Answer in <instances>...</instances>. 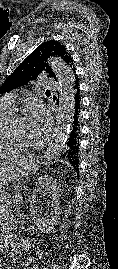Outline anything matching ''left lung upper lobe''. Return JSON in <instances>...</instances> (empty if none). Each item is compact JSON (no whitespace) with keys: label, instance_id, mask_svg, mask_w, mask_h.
Listing matches in <instances>:
<instances>
[{"label":"left lung upper lobe","instance_id":"1","mask_svg":"<svg viewBox=\"0 0 118 269\" xmlns=\"http://www.w3.org/2000/svg\"><path fill=\"white\" fill-rule=\"evenodd\" d=\"M60 57L66 64L72 67L73 60L66 47L55 40L43 42L38 46L7 78L0 88L1 93L9 92L20 86L26 85L30 80H35L40 73H47L49 77H55L52 68L47 64L50 57ZM78 84L77 75H75L74 85Z\"/></svg>","mask_w":118,"mask_h":269}]
</instances>
